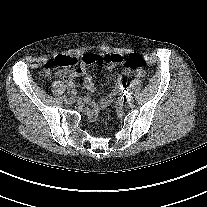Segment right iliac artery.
<instances>
[{
	"label": "right iliac artery",
	"mask_w": 207,
	"mask_h": 207,
	"mask_svg": "<svg viewBox=\"0 0 207 207\" xmlns=\"http://www.w3.org/2000/svg\"><path fill=\"white\" fill-rule=\"evenodd\" d=\"M63 99H64V100H66V99H67V96H66V95H64V96H63Z\"/></svg>",
	"instance_id": "right-iliac-artery-1"
}]
</instances>
